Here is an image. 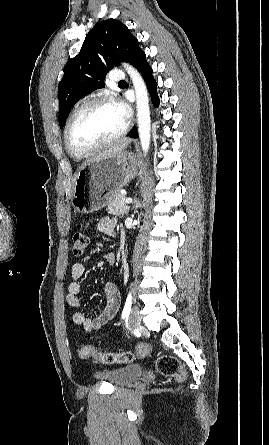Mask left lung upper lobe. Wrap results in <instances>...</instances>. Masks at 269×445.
<instances>
[{
    "mask_svg": "<svg viewBox=\"0 0 269 445\" xmlns=\"http://www.w3.org/2000/svg\"><path fill=\"white\" fill-rule=\"evenodd\" d=\"M142 53L138 40L122 22L109 19L96 24L80 53L65 66L58 87L60 128L80 98L104 87L109 69L122 61L134 66Z\"/></svg>",
    "mask_w": 269,
    "mask_h": 445,
    "instance_id": "1",
    "label": "left lung upper lobe"
}]
</instances>
